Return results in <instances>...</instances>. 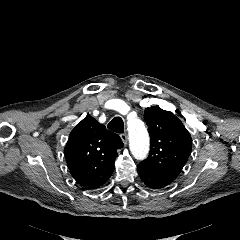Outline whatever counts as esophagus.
Wrapping results in <instances>:
<instances>
[{
  "mask_svg": "<svg viewBox=\"0 0 240 240\" xmlns=\"http://www.w3.org/2000/svg\"><path fill=\"white\" fill-rule=\"evenodd\" d=\"M121 140L123 141L124 144H127V142H128V135H127V133H123L121 135Z\"/></svg>",
  "mask_w": 240,
  "mask_h": 240,
  "instance_id": "obj_1",
  "label": "esophagus"
}]
</instances>
